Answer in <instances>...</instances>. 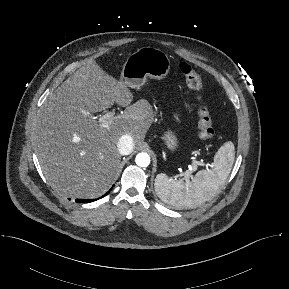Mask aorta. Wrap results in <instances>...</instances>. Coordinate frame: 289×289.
I'll list each match as a JSON object with an SVG mask.
<instances>
[{
	"label": "aorta",
	"mask_w": 289,
	"mask_h": 289,
	"mask_svg": "<svg viewBox=\"0 0 289 289\" xmlns=\"http://www.w3.org/2000/svg\"><path fill=\"white\" fill-rule=\"evenodd\" d=\"M136 164L140 167H147L150 164V156L147 153H139L136 156Z\"/></svg>",
	"instance_id": "762f6f07"
}]
</instances>
